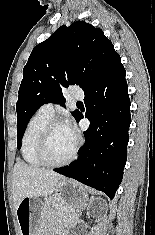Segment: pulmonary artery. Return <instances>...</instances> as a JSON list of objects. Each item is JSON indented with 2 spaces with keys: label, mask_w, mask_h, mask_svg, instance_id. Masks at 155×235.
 Instances as JSON below:
<instances>
[{
  "label": "pulmonary artery",
  "mask_w": 155,
  "mask_h": 235,
  "mask_svg": "<svg viewBox=\"0 0 155 235\" xmlns=\"http://www.w3.org/2000/svg\"><path fill=\"white\" fill-rule=\"evenodd\" d=\"M71 95L75 98V99H83L84 98V92L82 89L80 88H74L71 91ZM39 111H41L44 114H47L49 116H53L54 115V105L52 103H46L43 104Z\"/></svg>",
  "instance_id": "1"
}]
</instances>
